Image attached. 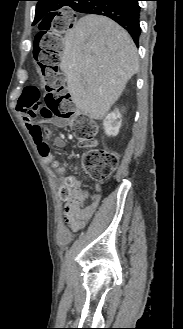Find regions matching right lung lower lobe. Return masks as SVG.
Listing matches in <instances>:
<instances>
[{
	"mask_svg": "<svg viewBox=\"0 0 183 329\" xmlns=\"http://www.w3.org/2000/svg\"><path fill=\"white\" fill-rule=\"evenodd\" d=\"M139 0H71L72 8L80 13H92L107 16L131 35L138 44L141 28L139 24Z\"/></svg>",
	"mask_w": 183,
	"mask_h": 329,
	"instance_id": "98d812e1",
	"label": "right lung lower lobe"
}]
</instances>
